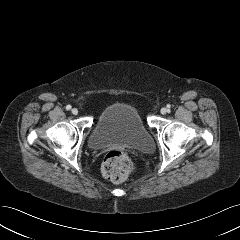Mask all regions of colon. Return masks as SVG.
<instances>
[{
    "mask_svg": "<svg viewBox=\"0 0 240 240\" xmlns=\"http://www.w3.org/2000/svg\"><path fill=\"white\" fill-rule=\"evenodd\" d=\"M134 171L131 158L123 151L112 150L108 152L102 162V175L112 182L126 180Z\"/></svg>",
    "mask_w": 240,
    "mask_h": 240,
    "instance_id": "1",
    "label": "colon"
}]
</instances>
